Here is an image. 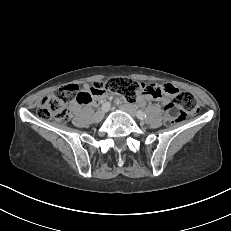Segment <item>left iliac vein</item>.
Wrapping results in <instances>:
<instances>
[{"mask_svg": "<svg viewBox=\"0 0 231 231\" xmlns=\"http://www.w3.org/2000/svg\"><path fill=\"white\" fill-rule=\"evenodd\" d=\"M120 108L126 112H128L131 116L135 117L137 116V111H136V108L131 105V104H124V105H121Z\"/></svg>", "mask_w": 231, "mask_h": 231, "instance_id": "4c4485c4", "label": "left iliac vein"}]
</instances>
